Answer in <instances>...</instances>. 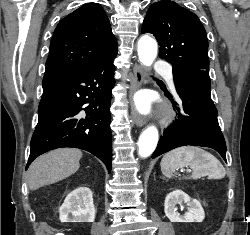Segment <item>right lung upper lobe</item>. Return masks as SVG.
<instances>
[{"mask_svg":"<svg viewBox=\"0 0 250 235\" xmlns=\"http://www.w3.org/2000/svg\"><path fill=\"white\" fill-rule=\"evenodd\" d=\"M117 54L108 17L97 3H86L63 18L50 43L44 78L78 72Z\"/></svg>","mask_w":250,"mask_h":235,"instance_id":"1","label":"right lung upper lobe"}]
</instances>
